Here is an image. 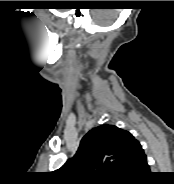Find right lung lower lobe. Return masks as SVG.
Instances as JSON below:
<instances>
[{
  "instance_id": "right-lung-lower-lobe-1",
  "label": "right lung lower lobe",
  "mask_w": 174,
  "mask_h": 184,
  "mask_svg": "<svg viewBox=\"0 0 174 184\" xmlns=\"http://www.w3.org/2000/svg\"><path fill=\"white\" fill-rule=\"evenodd\" d=\"M151 172L146 158H144L138 166L123 180L117 182L118 184H145Z\"/></svg>"
}]
</instances>
